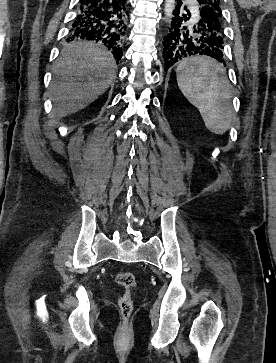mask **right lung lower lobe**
<instances>
[{"label": "right lung lower lobe", "mask_w": 276, "mask_h": 363, "mask_svg": "<svg viewBox=\"0 0 276 363\" xmlns=\"http://www.w3.org/2000/svg\"><path fill=\"white\" fill-rule=\"evenodd\" d=\"M128 16L127 0H80L67 39L100 42L119 61L128 32Z\"/></svg>", "instance_id": "obj_1"}]
</instances>
